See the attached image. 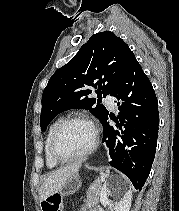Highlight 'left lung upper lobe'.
I'll list each match as a JSON object with an SVG mask.
<instances>
[{
	"mask_svg": "<svg viewBox=\"0 0 179 211\" xmlns=\"http://www.w3.org/2000/svg\"><path fill=\"white\" fill-rule=\"evenodd\" d=\"M133 54L129 46L113 32L105 31L91 36L78 53L50 78L42 95L41 130L51 120L68 109L89 110L101 123L108 115L99 98L111 94L128 58ZM91 87L98 89V99L88 98Z\"/></svg>",
	"mask_w": 179,
	"mask_h": 211,
	"instance_id": "left-lung-upper-lobe-1",
	"label": "left lung upper lobe"
}]
</instances>
